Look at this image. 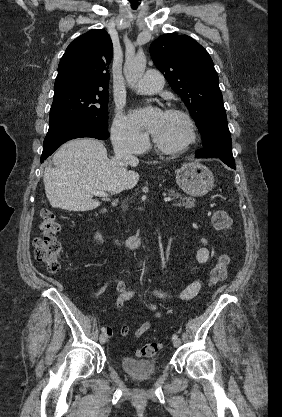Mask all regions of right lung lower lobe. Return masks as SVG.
<instances>
[{
	"mask_svg": "<svg viewBox=\"0 0 282 417\" xmlns=\"http://www.w3.org/2000/svg\"><path fill=\"white\" fill-rule=\"evenodd\" d=\"M80 137L105 140L109 137V132L85 118H72L49 125V130L43 143L41 162L64 142Z\"/></svg>",
	"mask_w": 282,
	"mask_h": 417,
	"instance_id": "1",
	"label": "right lung lower lobe"
}]
</instances>
